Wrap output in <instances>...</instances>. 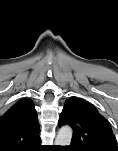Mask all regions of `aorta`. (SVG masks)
Masks as SVG:
<instances>
[{
	"mask_svg": "<svg viewBox=\"0 0 118 151\" xmlns=\"http://www.w3.org/2000/svg\"><path fill=\"white\" fill-rule=\"evenodd\" d=\"M72 135H73V131L69 126L61 127L57 133L55 139V145L70 146Z\"/></svg>",
	"mask_w": 118,
	"mask_h": 151,
	"instance_id": "1",
	"label": "aorta"
}]
</instances>
